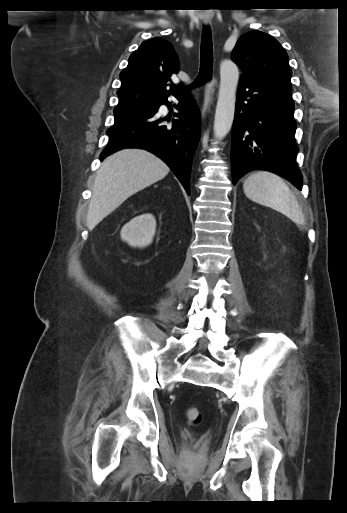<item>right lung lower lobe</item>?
<instances>
[{"mask_svg": "<svg viewBox=\"0 0 347 513\" xmlns=\"http://www.w3.org/2000/svg\"><path fill=\"white\" fill-rule=\"evenodd\" d=\"M173 119L157 115L159 101L144 109L115 115L114 125L107 130L110 142L100 154V160L123 148L146 149L160 157L174 172L189 194L192 160L200 139V114L190 97L182 93Z\"/></svg>", "mask_w": 347, "mask_h": 513, "instance_id": "98d812e1", "label": "right lung lower lobe"}]
</instances>
